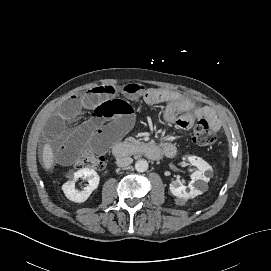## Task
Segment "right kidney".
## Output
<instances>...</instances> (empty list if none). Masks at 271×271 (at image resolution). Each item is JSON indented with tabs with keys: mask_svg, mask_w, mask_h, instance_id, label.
I'll return each mask as SVG.
<instances>
[{
	"mask_svg": "<svg viewBox=\"0 0 271 271\" xmlns=\"http://www.w3.org/2000/svg\"><path fill=\"white\" fill-rule=\"evenodd\" d=\"M79 178L87 179L89 184L82 190L75 189V181ZM100 178L97 172L91 168L80 169L73 174V180H69L63 184L62 190L65 196L76 203L85 202L91 193L98 187Z\"/></svg>",
	"mask_w": 271,
	"mask_h": 271,
	"instance_id": "1",
	"label": "right kidney"
}]
</instances>
